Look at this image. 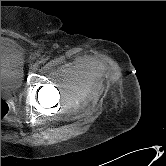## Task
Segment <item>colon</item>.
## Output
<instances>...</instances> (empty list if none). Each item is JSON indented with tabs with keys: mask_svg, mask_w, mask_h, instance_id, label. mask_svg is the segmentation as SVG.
Instances as JSON below:
<instances>
[{
	"mask_svg": "<svg viewBox=\"0 0 166 166\" xmlns=\"http://www.w3.org/2000/svg\"><path fill=\"white\" fill-rule=\"evenodd\" d=\"M9 111V106L7 102L1 98V120L6 117Z\"/></svg>",
	"mask_w": 166,
	"mask_h": 166,
	"instance_id": "obj_1",
	"label": "colon"
}]
</instances>
